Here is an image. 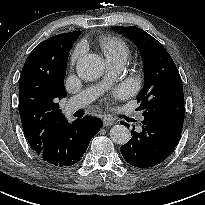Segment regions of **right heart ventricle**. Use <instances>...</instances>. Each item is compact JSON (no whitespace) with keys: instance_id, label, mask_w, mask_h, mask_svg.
<instances>
[{"instance_id":"right-heart-ventricle-1","label":"right heart ventricle","mask_w":205,"mask_h":205,"mask_svg":"<svg viewBox=\"0 0 205 205\" xmlns=\"http://www.w3.org/2000/svg\"><path fill=\"white\" fill-rule=\"evenodd\" d=\"M100 46L105 58L108 61L122 60L126 61L130 54L128 45L120 37L115 35H102L98 38Z\"/></svg>"}]
</instances>
